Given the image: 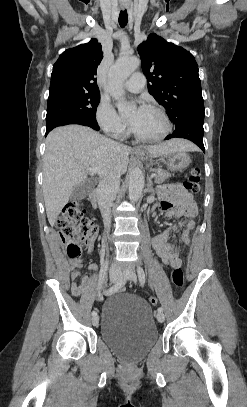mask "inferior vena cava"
Here are the masks:
<instances>
[{
    "mask_svg": "<svg viewBox=\"0 0 247 407\" xmlns=\"http://www.w3.org/2000/svg\"><path fill=\"white\" fill-rule=\"evenodd\" d=\"M120 185V175L104 176L99 182L97 193L103 222L106 229H109L111 223L110 207L116 197Z\"/></svg>",
    "mask_w": 247,
    "mask_h": 407,
    "instance_id": "obj_1",
    "label": "inferior vena cava"
}]
</instances>
